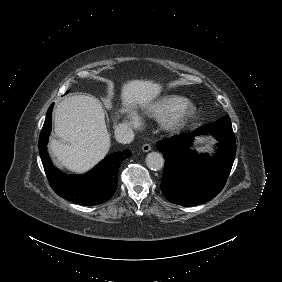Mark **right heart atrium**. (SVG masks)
<instances>
[{
  "label": "right heart atrium",
  "instance_id": "obj_1",
  "mask_svg": "<svg viewBox=\"0 0 282 282\" xmlns=\"http://www.w3.org/2000/svg\"><path fill=\"white\" fill-rule=\"evenodd\" d=\"M125 125L130 128H137L139 126V120L137 117H132Z\"/></svg>",
  "mask_w": 282,
  "mask_h": 282
}]
</instances>
